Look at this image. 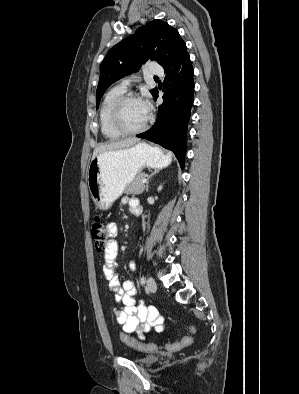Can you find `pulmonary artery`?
Listing matches in <instances>:
<instances>
[{
    "label": "pulmonary artery",
    "mask_w": 299,
    "mask_h": 394,
    "mask_svg": "<svg viewBox=\"0 0 299 394\" xmlns=\"http://www.w3.org/2000/svg\"><path fill=\"white\" fill-rule=\"evenodd\" d=\"M151 73L156 76H162L164 74V70L162 68L152 66ZM130 83H131V79L125 78L122 80L120 87L126 90L129 87Z\"/></svg>",
    "instance_id": "1"
}]
</instances>
